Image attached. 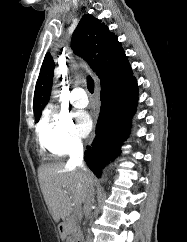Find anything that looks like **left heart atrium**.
Returning <instances> with one entry per match:
<instances>
[{"label": "left heart atrium", "instance_id": "39dd6f15", "mask_svg": "<svg viewBox=\"0 0 187 242\" xmlns=\"http://www.w3.org/2000/svg\"><path fill=\"white\" fill-rule=\"evenodd\" d=\"M77 131L81 136H86L93 127V120L87 112L79 111L75 114Z\"/></svg>", "mask_w": 187, "mask_h": 242}]
</instances>
